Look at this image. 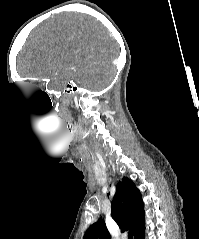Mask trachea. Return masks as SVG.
Segmentation results:
<instances>
[{"instance_id":"obj_1","label":"trachea","mask_w":199,"mask_h":239,"mask_svg":"<svg viewBox=\"0 0 199 239\" xmlns=\"http://www.w3.org/2000/svg\"><path fill=\"white\" fill-rule=\"evenodd\" d=\"M128 238H129V239H133V232H132V231H129V232H128Z\"/></svg>"}]
</instances>
